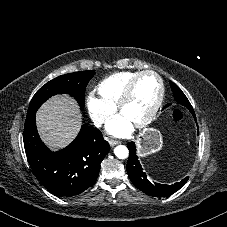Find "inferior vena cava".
<instances>
[{
	"mask_svg": "<svg viewBox=\"0 0 227 227\" xmlns=\"http://www.w3.org/2000/svg\"><path fill=\"white\" fill-rule=\"evenodd\" d=\"M104 118H102V117H96V118H94V120H93V122H94V125L96 126V127H101L102 126V124L104 123Z\"/></svg>",
	"mask_w": 227,
	"mask_h": 227,
	"instance_id": "602c4592",
	"label": "inferior vena cava"
}]
</instances>
